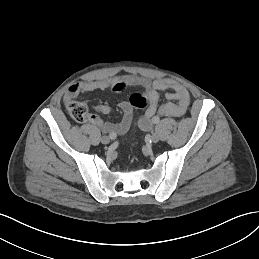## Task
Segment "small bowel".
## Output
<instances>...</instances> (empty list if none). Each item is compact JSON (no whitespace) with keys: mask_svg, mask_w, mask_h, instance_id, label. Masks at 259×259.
Instances as JSON below:
<instances>
[{"mask_svg":"<svg viewBox=\"0 0 259 259\" xmlns=\"http://www.w3.org/2000/svg\"><path fill=\"white\" fill-rule=\"evenodd\" d=\"M128 86H141L148 95V106L139 120V126L143 131L149 130L151 119L156 113L164 116L180 117L184 115L190 104V94L180 83L172 79L148 80L135 75L117 76L94 81H85L71 85L65 94V101L75 99L78 95L95 91L107 90L121 91ZM166 92L167 102L158 107L159 92ZM122 111V118L117 123L103 120L96 114H90L88 122L99 127L105 133L124 134L131 125L133 118V107L129 101H122L119 104ZM95 110L102 114H109L112 108L107 104H100Z\"/></svg>","mask_w":259,"mask_h":259,"instance_id":"c3829d8e","label":"small bowel"}]
</instances>
